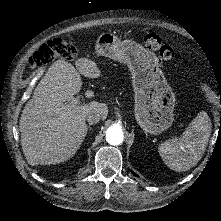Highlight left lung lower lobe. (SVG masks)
Masks as SVG:
<instances>
[{"mask_svg": "<svg viewBox=\"0 0 221 221\" xmlns=\"http://www.w3.org/2000/svg\"><path fill=\"white\" fill-rule=\"evenodd\" d=\"M132 173H133V175L137 176L134 172H132Z\"/></svg>", "mask_w": 221, "mask_h": 221, "instance_id": "obj_1", "label": "left lung lower lobe"}]
</instances>
